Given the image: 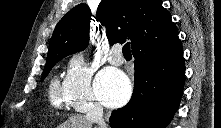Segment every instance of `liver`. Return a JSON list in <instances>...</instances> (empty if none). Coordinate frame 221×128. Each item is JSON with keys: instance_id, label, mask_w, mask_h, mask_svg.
<instances>
[{"instance_id": "1", "label": "liver", "mask_w": 221, "mask_h": 128, "mask_svg": "<svg viewBox=\"0 0 221 128\" xmlns=\"http://www.w3.org/2000/svg\"><path fill=\"white\" fill-rule=\"evenodd\" d=\"M92 126L93 122L89 121L86 116L73 115L59 125L58 128H93Z\"/></svg>"}]
</instances>
